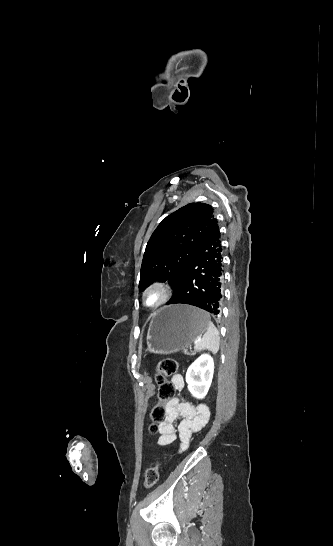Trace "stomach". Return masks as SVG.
<instances>
[{"instance_id":"1","label":"stomach","mask_w":333,"mask_h":546,"mask_svg":"<svg viewBox=\"0 0 333 546\" xmlns=\"http://www.w3.org/2000/svg\"><path fill=\"white\" fill-rule=\"evenodd\" d=\"M207 313L186 304L164 307L154 313L147 333L146 351L169 355L185 350L207 330Z\"/></svg>"}]
</instances>
